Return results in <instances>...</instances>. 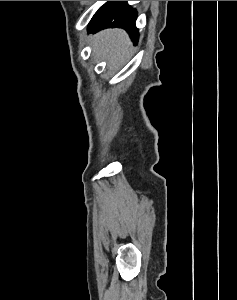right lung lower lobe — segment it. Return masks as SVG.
I'll list each match as a JSON object with an SVG mask.
<instances>
[{"instance_id":"right-lung-lower-lobe-1","label":"right lung lower lobe","mask_w":237,"mask_h":300,"mask_svg":"<svg viewBox=\"0 0 237 300\" xmlns=\"http://www.w3.org/2000/svg\"><path fill=\"white\" fill-rule=\"evenodd\" d=\"M137 12L127 1H117L106 14L88 27L89 33H95L105 28L119 27L125 29L131 39L137 43L138 29L135 26Z\"/></svg>"}]
</instances>
